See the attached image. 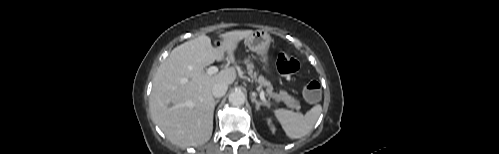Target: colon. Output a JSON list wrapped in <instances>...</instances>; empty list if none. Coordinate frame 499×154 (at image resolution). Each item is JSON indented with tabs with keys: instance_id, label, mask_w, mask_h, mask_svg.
<instances>
[{
	"instance_id": "1",
	"label": "colon",
	"mask_w": 499,
	"mask_h": 154,
	"mask_svg": "<svg viewBox=\"0 0 499 154\" xmlns=\"http://www.w3.org/2000/svg\"><path fill=\"white\" fill-rule=\"evenodd\" d=\"M278 71L286 76H293L299 71L297 58L290 54H280L277 60ZM303 96L308 102H317L321 97V86L317 81L307 83L303 88Z\"/></svg>"
}]
</instances>
